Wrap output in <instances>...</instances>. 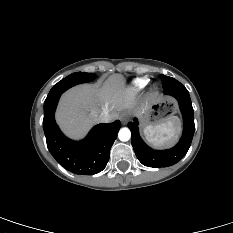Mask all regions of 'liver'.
Returning a JSON list of instances; mask_svg holds the SVG:
<instances>
[{
	"instance_id": "6515ba94",
	"label": "liver",
	"mask_w": 233,
	"mask_h": 233,
	"mask_svg": "<svg viewBox=\"0 0 233 233\" xmlns=\"http://www.w3.org/2000/svg\"><path fill=\"white\" fill-rule=\"evenodd\" d=\"M149 105L148 101L138 103L134 89L125 85L121 75L115 74L103 85L83 84L65 92L58 105L56 121L67 136L80 139L98 123L102 112H108L114 120L121 110L134 109L140 114Z\"/></svg>"
}]
</instances>
